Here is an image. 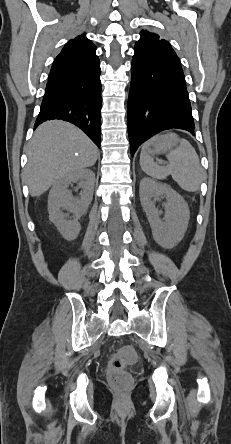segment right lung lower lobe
Returning <instances> with one entry per match:
<instances>
[{
    "mask_svg": "<svg viewBox=\"0 0 231 444\" xmlns=\"http://www.w3.org/2000/svg\"><path fill=\"white\" fill-rule=\"evenodd\" d=\"M100 73L99 65L84 73L48 80L34 128L46 120L69 121L82 129L100 147Z\"/></svg>",
    "mask_w": 231,
    "mask_h": 444,
    "instance_id": "98d812e1",
    "label": "right lung lower lobe"
}]
</instances>
